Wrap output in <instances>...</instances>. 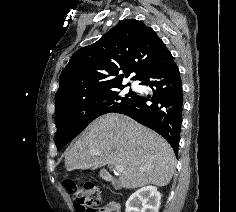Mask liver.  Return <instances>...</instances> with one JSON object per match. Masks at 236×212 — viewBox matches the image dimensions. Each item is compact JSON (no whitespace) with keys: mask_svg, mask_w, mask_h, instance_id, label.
Wrapping results in <instances>:
<instances>
[{"mask_svg":"<svg viewBox=\"0 0 236 212\" xmlns=\"http://www.w3.org/2000/svg\"><path fill=\"white\" fill-rule=\"evenodd\" d=\"M99 150L100 155L91 154ZM122 165L119 183L134 189L153 184L167 185L176 160L172 147L156 132L132 118L108 113L95 119L67 150V171Z\"/></svg>","mask_w":236,"mask_h":212,"instance_id":"1","label":"liver"}]
</instances>
